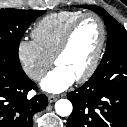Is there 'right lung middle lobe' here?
Returning <instances> with one entry per match:
<instances>
[{
  "label": "right lung middle lobe",
  "instance_id": "right-lung-middle-lobe-1",
  "mask_svg": "<svg viewBox=\"0 0 127 127\" xmlns=\"http://www.w3.org/2000/svg\"><path fill=\"white\" fill-rule=\"evenodd\" d=\"M45 10L0 9V62L14 70H22L18 49L28 26Z\"/></svg>",
  "mask_w": 127,
  "mask_h": 127
}]
</instances>
